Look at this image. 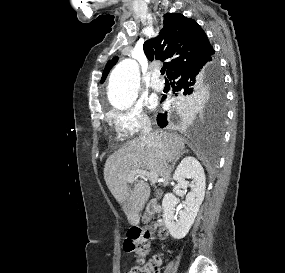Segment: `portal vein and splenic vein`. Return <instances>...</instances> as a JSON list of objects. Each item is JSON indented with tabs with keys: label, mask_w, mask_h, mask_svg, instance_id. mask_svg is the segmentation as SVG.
Listing matches in <instances>:
<instances>
[{
	"label": "portal vein and splenic vein",
	"mask_w": 285,
	"mask_h": 273,
	"mask_svg": "<svg viewBox=\"0 0 285 273\" xmlns=\"http://www.w3.org/2000/svg\"><path fill=\"white\" fill-rule=\"evenodd\" d=\"M136 177L148 178L152 183L158 182L159 178L156 172L146 171L141 169H134L128 175V182L133 183Z\"/></svg>",
	"instance_id": "obj_1"
}]
</instances>
